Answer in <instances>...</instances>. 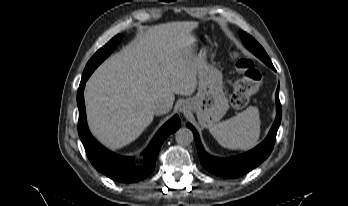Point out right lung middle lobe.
Segmentation results:
<instances>
[{
    "label": "right lung middle lobe",
    "instance_id": "right-lung-middle-lobe-1",
    "mask_svg": "<svg viewBox=\"0 0 348 206\" xmlns=\"http://www.w3.org/2000/svg\"><path fill=\"white\" fill-rule=\"evenodd\" d=\"M121 39L120 35L115 36L113 39H111L105 46H103L101 49H99L94 56L89 60L88 63L91 61L98 59L101 60V58H106L110 55V53L116 48L117 44L119 43ZM87 63V64H88Z\"/></svg>",
    "mask_w": 348,
    "mask_h": 206
}]
</instances>
